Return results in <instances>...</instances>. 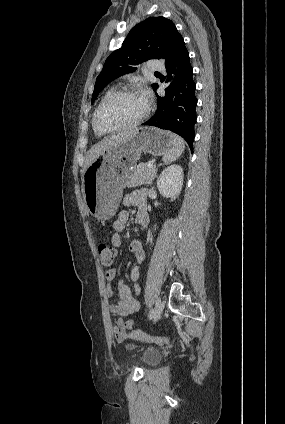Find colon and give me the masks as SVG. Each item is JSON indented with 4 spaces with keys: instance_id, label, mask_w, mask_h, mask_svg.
Wrapping results in <instances>:
<instances>
[{
    "instance_id": "obj_1",
    "label": "colon",
    "mask_w": 285,
    "mask_h": 424,
    "mask_svg": "<svg viewBox=\"0 0 285 424\" xmlns=\"http://www.w3.org/2000/svg\"><path fill=\"white\" fill-rule=\"evenodd\" d=\"M97 249H98V254L100 256V260H101L102 264L111 265L113 263L115 257H116V250L113 247L108 246L105 243H99ZM131 335L135 340H145L146 339V335L144 333H142L141 331H138V330H132ZM148 341H150L152 343L164 345V344L167 343L168 339L167 338L150 337V338H148Z\"/></svg>"
}]
</instances>
